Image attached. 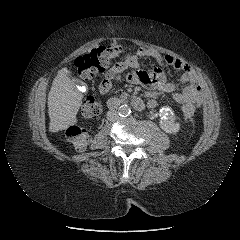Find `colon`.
Returning <instances> with one entry per match:
<instances>
[{"label": "colon", "instance_id": "1", "mask_svg": "<svg viewBox=\"0 0 240 240\" xmlns=\"http://www.w3.org/2000/svg\"><path fill=\"white\" fill-rule=\"evenodd\" d=\"M123 51L124 47L122 45L112 44L93 49L91 52L78 57L75 60L78 76L83 80H89L95 74L105 72L111 60ZM82 111L86 117L96 118L101 113V107L93 96H87L83 100ZM183 114L187 120H193L195 107L192 104H185ZM66 137L76 150L81 151L87 147L90 135L86 128L73 125L67 129Z\"/></svg>", "mask_w": 240, "mask_h": 240}]
</instances>
